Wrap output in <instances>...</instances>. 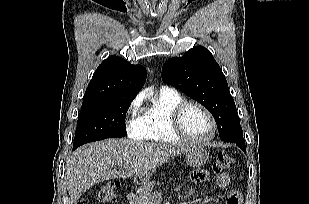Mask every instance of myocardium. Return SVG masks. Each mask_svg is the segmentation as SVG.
I'll list each match as a JSON object with an SVG mask.
<instances>
[{
    "instance_id": "myocardium-1",
    "label": "myocardium",
    "mask_w": 309,
    "mask_h": 204,
    "mask_svg": "<svg viewBox=\"0 0 309 204\" xmlns=\"http://www.w3.org/2000/svg\"><path fill=\"white\" fill-rule=\"evenodd\" d=\"M189 106H195L202 110L204 114L207 116V118L210 121L211 124V133L210 135L205 138V139H197L192 137L183 127L182 124V116L184 111L189 107ZM170 126L175 135H177L180 139L187 141L192 144H197V145H205L211 142L217 132V124L215 121L214 116L210 112V110L204 106L202 103L195 101V100H183L180 102L178 105L175 106V108L172 110L170 114Z\"/></svg>"
}]
</instances>
